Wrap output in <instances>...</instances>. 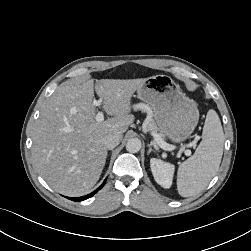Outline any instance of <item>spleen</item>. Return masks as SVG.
I'll return each mask as SVG.
<instances>
[{
    "label": "spleen",
    "mask_w": 251,
    "mask_h": 251,
    "mask_svg": "<svg viewBox=\"0 0 251 251\" xmlns=\"http://www.w3.org/2000/svg\"><path fill=\"white\" fill-rule=\"evenodd\" d=\"M224 146V133L218 114L207 112L202 141L193 156L181 163L177 172V190L182 197L201 193L219 169Z\"/></svg>",
    "instance_id": "1"
}]
</instances>
